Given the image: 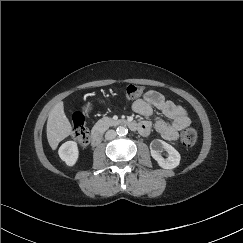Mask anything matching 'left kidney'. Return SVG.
<instances>
[{"instance_id": "obj_1", "label": "left kidney", "mask_w": 243, "mask_h": 243, "mask_svg": "<svg viewBox=\"0 0 243 243\" xmlns=\"http://www.w3.org/2000/svg\"><path fill=\"white\" fill-rule=\"evenodd\" d=\"M161 150H165L168 153L166 159L162 157ZM150 151L151 156L164 169H174L180 163L181 157L179 152L173 146L160 139H155L150 143Z\"/></svg>"}]
</instances>
